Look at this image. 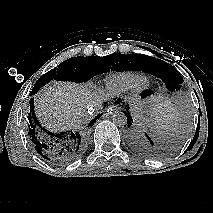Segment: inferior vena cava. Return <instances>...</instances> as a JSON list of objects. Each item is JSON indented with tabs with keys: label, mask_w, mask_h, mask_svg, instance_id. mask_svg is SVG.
Listing matches in <instances>:
<instances>
[{
	"label": "inferior vena cava",
	"mask_w": 213,
	"mask_h": 213,
	"mask_svg": "<svg viewBox=\"0 0 213 213\" xmlns=\"http://www.w3.org/2000/svg\"><path fill=\"white\" fill-rule=\"evenodd\" d=\"M96 108H97V107H96ZM93 111H94L93 106L89 107V108H88V114L85 115V118H86V119L91 118L92 115H93Z\"/></svg>",
	"instance_id": "602c4592"
}]
</instances>
